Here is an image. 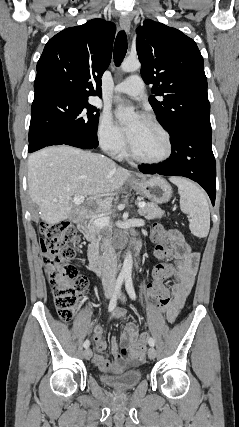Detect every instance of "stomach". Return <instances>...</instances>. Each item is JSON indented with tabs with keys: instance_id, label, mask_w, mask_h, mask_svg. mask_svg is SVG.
I'll return each mask as SVG.
<instances>
[{
	"instance_id": "stomach-1",
	"label": "stomach",
	"mask_w": 239,
	"mask_h": 427,
	"mask_svg": "<svg viewBox=\"0 0 239 427\" xmlns=\"http://www.w3.org/2000/svg\"><path fill=\"white\" fill-rule=\"evenodd\" d=\"M131 187L154 203L163 204L170 200L172 188L170 184L159 176L142 177L130 182Z\"/></svg>"
}]
</instances>
